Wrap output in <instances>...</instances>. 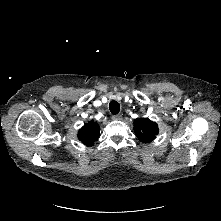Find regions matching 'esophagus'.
Masks as SVG:
<instances>
[{"instance_id": "34e87169", "label": "esophagus", "mask_w": 221, "mask_h": 221, "mask_svg": "<svg viewBox=\"0 0 221 221\" xmlns=\"http://www.w3.org/2000/svg\"><path fill=\"white\" fill-rule=\"evenodd\" d=\"M113 120H121L122 119V115L121 114H116L112 116Z\"/></svg>"}]
</instances>
